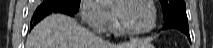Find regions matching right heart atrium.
Here are the masks:
<instances>
[{
  "label": "right heart atrium",
  "instance_id": "obj_1",
  "mask_svg": "<svg viewBox=\"0 0 213 48\" xmlns=\"http://www.w3.org/2000/svg\"><path fill=\"white\" fill-rule=\"evenodd\" d=\"M80 13L83 21L98 33L108 32L115 21L114 14L96 0H82Z\"/></svg>",
  "mask_w": 213,
  "mask_h": 48
}]
</instances>
